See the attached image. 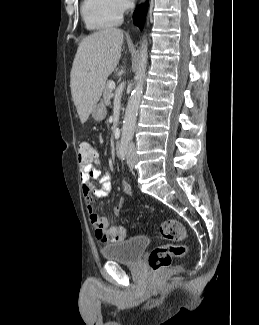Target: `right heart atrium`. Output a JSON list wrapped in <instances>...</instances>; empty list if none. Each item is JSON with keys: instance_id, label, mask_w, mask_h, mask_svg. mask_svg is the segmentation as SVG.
Instances as JSON below:
<instances>
[{"instance_id": "1", "label": "right heart atrium", "mask_w": 259, "mask_h": 325, "mask_svg": "<svg viewBox=\"0 0 259 325\" xmlns=\"http://www.w3.org/2000/svg\"><path fill=\"white\" fill-rule=\"evenodd\" d=\"M112 3L115 10L120 14H122L127 8L126 0H112Z\"/></svg>"}]
</instances>
